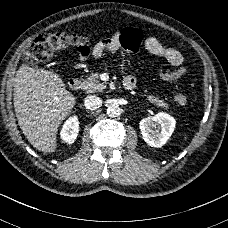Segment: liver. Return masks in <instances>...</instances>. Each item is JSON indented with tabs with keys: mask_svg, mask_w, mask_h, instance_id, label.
<instances>
[{
	"mask_svg": "<svg viewBox=\"0 0 228 228\" xmlns=\"http://www.w3.org/2000/svg\"><path fill=\"white\" fill-rule=\"evenodd\" d=\"M76 105V97L53 72L23 64L17 71L14 107L18 124L38 151L54 153L57 134Z\"/></svg>",
	"mask_w": 228,
	"mask_h": 228,
	"instance_id": "1",
	"label": "liver"
}]
</instances>
